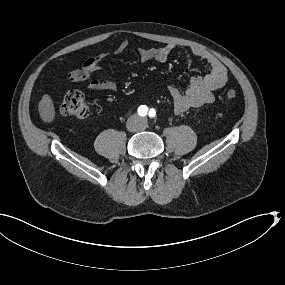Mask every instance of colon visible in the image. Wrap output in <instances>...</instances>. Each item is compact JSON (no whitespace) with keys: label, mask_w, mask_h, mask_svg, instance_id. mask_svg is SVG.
<instances>
[{"label":"colon","mask_w":285,"mask_h":285,"mask_svg":"<svg viewBox=\"0 0 285 285\" xmlns=\"http://www.w3.org/2000/svg\"><path fill=\"white\" fill-rule=\"evenodd\" d=\"M71 80L82 81L85 79L83 69H74L69 74ZM237 93L235 90L230 89L226 92V97L230 100L235 99ZM59 112L67 117L83 119L89 114V109L85 100L84 95L77 90L69 91L60 106Z\"/></svg>","instance_id":"5ec220e1"}]
</instances>
